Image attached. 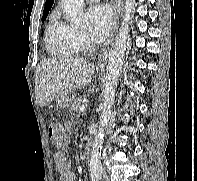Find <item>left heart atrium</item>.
<instances>
[{"label": "left heart atrium", "instance_id": "left-heart-atrium-1", "mask_svg": "<svg viewBox=\"0 0 197 181\" xmlns=\"http://www.w3.org/2000/svg\"><path fill=\"white\" fill-rule=\"evenodd\" d=\"M88 32L95 40H102L112 24V12L107 5L91 6L87 11Z\"/></svg>", "mask_w": 197, "mask_h": 181}]
</instances>
